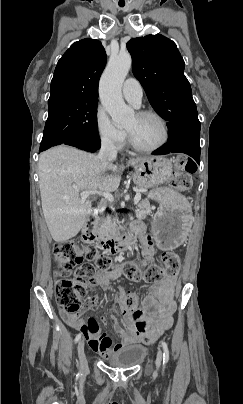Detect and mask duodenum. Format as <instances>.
<instances>
[{
    "mask_svg": "<svg viewBox=\"0 0 243 404\" xmlns=\"http://www.w3.org/2000/svg\"><path fill=\"white\" fill-rule=\"evenodd\" d=\"M138 234L132 230L128 235L113 238L100 242V247L104 253L110 255H117L124 249L132 247L137 239ZM82 238L85 242L93 241L96 238L95 219L90 217L83 228Z\"/></svg>",
    "mask_w": 243,
    "mask_h": 404,
    "instance_id": "obj_1",
    "label": "duodenum"
}]
</instances>
